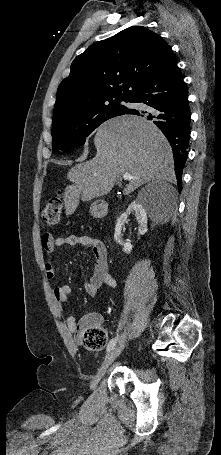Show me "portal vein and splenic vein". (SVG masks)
Here are the masks:
<instances>
[{
  "label": "portal vein and splenic vein",
  "instance_id": "18ae733b",
  "mask_svg": "<svg viewBox=\"0 0 221 455\" xmlns=\"http://www.w3.org/2000/svg\"><path fill=\"white\" fill-rule=\"evenodd\" d=\"M123 179L124 180H131L133 177L130 175V173L126 172L123 174Z\"/></svg>",
  "mask_w": 221,
  "mask_h": 455
}]
</instances>
